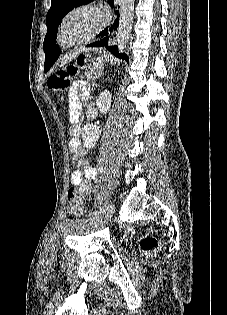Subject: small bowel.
<instances>
[{
	"label": "small bowel",
	"instance_id": "small-bowel-1",
	"mask_svg": "<svg viewBox=\"0 0 227 315\" xmlns=\"http://www.w3.org/2000/svg\"><path fill=\"white\" fill-rule=\"evenodd\" d=\"M89 98V88L83 81L75 82L69 93V112L72 123V138L68 147L72 153V162L78 169L71 173L70 182L72 185L80 187L82 193L89 195L93 190V181L96 176V169L85 158V149L81 148L77 135L80 132L78 124L81 101Z\"/></svg>",
	"mask_w": 227,
	"mask_h": 315
}]
</instances>
